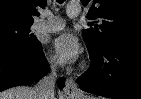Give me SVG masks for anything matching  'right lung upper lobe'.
Here are the masks:
<instances>
[{
    "instance_id": "right-lung-upper-lobe-1",
    "label": "right lung upper lobe",
    "mask_w": 141,
    "mask_h": 99,
    "mask_svg": "<svg viewBox=\"0 0 141 99\" xmlns=\"http://www.w3.org/2000/svg\"><path fill=\"white\" fill-rule=\"evenodd\" d=\"M46 0H0V22H33L39 13L36 6L45 7Z\"/></svg>"
}]
</instances>
